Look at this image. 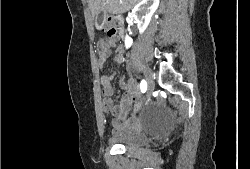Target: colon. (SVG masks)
Masks as SVG:
<instances>
[{"label":"colon","instance_id":"1","mask_svg":"<svg viewBox=\"0 0 250 169\" xmlns=\"http://www.w3.org/2000/svg\"><path fill=\"white\" fill-rule=\"evenodd\" d=\"M100 29L110 38L114 37L117 33V28L114 25H102Z\"/></svg>","mask_w":250,"mask_h":169}]
</instances>
